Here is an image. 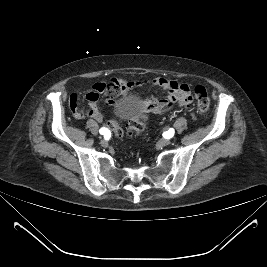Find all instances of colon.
<instances>
[{"instance_id": "obj_1", "label": "colon", "mask_w": 267, "mask_h": 267, "mask_svg": "<svg viewBox=\"0 0 267 267\" xmlns=\"http://www.w3.org/2000/svg\"><path fill=\"white\" fill-rule=\"evenodd\" d=\"M194 93H195V101H196L197 109L202 113L207 112L210 107V99H209V96H208V93L205 87L201 85L196 86L194 89ZM146 118H147L146 114H142L137 118L131 119L128 125V134L130 136H134V135H139L142 132H144ZM108 127L112 130V132L117 137L123 136V132L120 128V125L117 119H111L108 122Z\"/></svg>"}]
</instances>
